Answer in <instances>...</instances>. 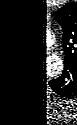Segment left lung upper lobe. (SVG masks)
Instances as JSON below:
<instances>
[{"label": "left lung upper lobe", "instance_id": "1", "mask_svg": "<svg viewBox=\"0 0 77 125\" xmlns=\"http://www.w3.org/2000/svg\"><path fill=\"white\" fill-rule=\"evenodd\" d=\"M75 8L71 4H67L64 8L58 11V22L63 29V42L66 49V68L68 65L70 56L74 55V51L71 52L72 48L76 47L77 38V17L75 14ZM68 71V70H67Z\"/></svg>", "mask_w": 77, "mask_h": 125}]
</instances>
